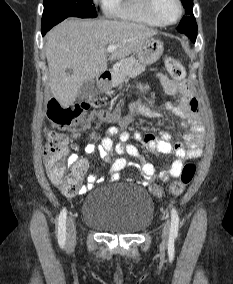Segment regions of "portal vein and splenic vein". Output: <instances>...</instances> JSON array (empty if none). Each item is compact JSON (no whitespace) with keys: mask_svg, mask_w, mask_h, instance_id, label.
Here are the masks:
<instances>
[{"mask_svg":"<svg viewBox=\"0 0 233 284\" xmlns=\"http://www.w3.org/2000/svg\"><path fill=\"white\" fill-rule=\"evenodd\" d=\"M115 48H116L115 45H109V46L107 47V52H108V53H112V52L115 50Z\"/></svg>","mask_w":233,"mask_h":284,"instance_id":"obj_1","label":"portal vein and splenic vein"}]
</instances>
